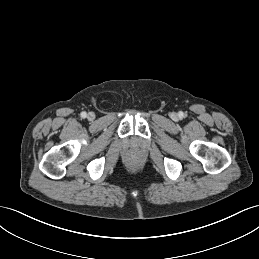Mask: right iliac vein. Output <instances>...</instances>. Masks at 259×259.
I'll use <instances>...</instances> for the list:
<instances>
[{
  "mask_svg": "<svg viewBox=\"0 0 259 259\" xmlns=\"http://www.w3.org/2000/svg\"><path fill=\"white\" fill-rule=\"evenodd\" d=\"M87 117L89 120H93L95 118V115L93 112H90Z\"/></svg>",
  "mask_w": 259,
  "mask_h": 259,
  "instance_id": "63e3f726",
  "label": "right iliac vein"
}]
</instances>
